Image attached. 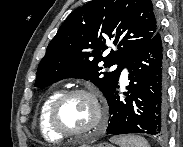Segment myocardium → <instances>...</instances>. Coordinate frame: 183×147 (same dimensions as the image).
Here are the masks:
<instances>
[{"mask_svg": "<svg viewBox=\"0 0 183 147\" xmlns=\"http://www.w3.org/2000/svg\"><path fill=\"white\" fill-rule=\"evenodd\" d=\"M76 95L85 96L91 101V103L94 107L95 117H94L93 122L86 128L80 129V130H70V129H67L65 126H63L62 123L60 122L59 110H60L62 104L68 98H70L72 96H76ZM104 118H105V111H104L103 105H102L100 99L98 98V96L96 95V93L91 90L84 89V88H75V89H71V90L61 93L55 99V101L51 105L48 120H49V124L52 127V129L60 135L81 136V135L90 133L91 131L95 130L102 123Z\"/></svg>", "mask_w": 183, "mask_h": 147, "instance_id": "myocardium-1", "label": "myocardium"}]
</instances>
